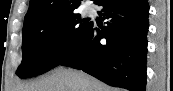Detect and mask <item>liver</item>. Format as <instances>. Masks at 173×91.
I'll return each instance as SVG.
<instances>
[{
  "label": "liver",
  "mask_w": 173,
  "mask_h": 91,
  "mask_svg": "<svg viewBox=\"0 0 173 91\" xmlns=\"http://www.w3.org/2000/svg\"><path fill=\"white\" fill-rule=\"evenodd\" d=\"M16 91H119L78 70L58 68L30 84H21Z\"/></svg>",
  "instance_id": "1"
}]
</instances>
